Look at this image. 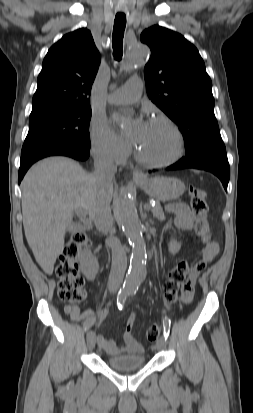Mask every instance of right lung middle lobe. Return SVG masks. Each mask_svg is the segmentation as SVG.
I'll use <instances>...</instances> for the list:
<instances>
[{
	"mask_svg": "<svg viewBox=\"0 0 253 413\" xmlns=\"http://www.w3.org/2000/svg\"><path fill=\"white\" fill-rule=\"evenodd\" d=\"M90 106L53 107L31 112L22 155L56 147L90 149Z\"/></svg>",
	"mask_w": 253,
	"mask_h": 413,
	"instance_id": "1",
	"label": "right lung middle lobe"
}]
</instances>
